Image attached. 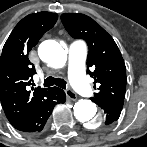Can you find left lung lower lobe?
Here are the masks:
<instances>
[{
  "instance_id": "obj_1",
  "label": "left lung lower lobe",
  "mask_w": 147,
  "mask_h": 147,
  "mask_svg": "<svg viewBox=\"0 0 147 147\" xmlns=\"http://www.w3.org/2000/svg\"><path fill=\"white\" fill-rule=\"evenodd\" d=\"M123 103V100H115L99 106L104 110L106 114L105 125H110L118 120L123 107Z\"/></svg>"
}]
</instances>
